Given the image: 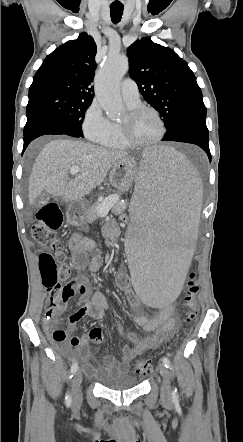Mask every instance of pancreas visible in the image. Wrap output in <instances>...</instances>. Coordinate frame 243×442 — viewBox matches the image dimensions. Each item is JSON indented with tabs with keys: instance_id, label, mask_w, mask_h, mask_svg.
<instances>
[{
	"instance_id": "1",
	"label": "pancreas",
	"mask_w": 243,
	"mask_h": 442,
	"mask_svg": "<svg viewBox=\"0 0 243 442\" xmlns=\"http://www.w3.org/2000/svg\"><path fill=\"white\" fill-rule=\"evenodd\" d=\"M112 196H114V195L108 196L107 198H105L103 200H98L89 208L88 215H87L88 222H94L100 218V216L98 215V208L103 204V202L109 200ZM126 207H127V204L121 203L118 199L117 202L113 205L112 211L118 215V214L123 213L125 211Z\"/></svg>"
}]
</instances>
